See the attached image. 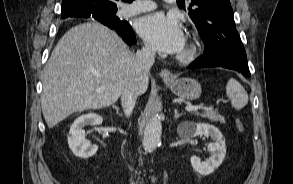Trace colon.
Listing matches in <instances>:
<instances>
[{"label": "colon", "instance_id": "obj_1", "mask_svg": "<svg viewBox=\"0 0 293 184\" xmlns=\"http://www.w3.org/2000/svg\"><path fill=\"white\" fill-rule=\"evenodd\" d=\"M236 127H237V129H238L240 132H243V131H244V127H243V125H242V123H241L240 120H236Z\"/></svg>", "mask_w": 293, "mask_h": 184}]
</instances>
